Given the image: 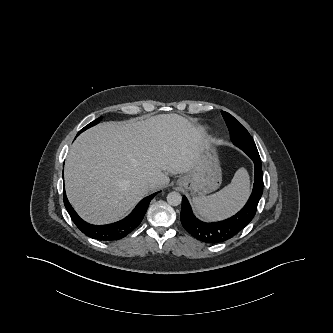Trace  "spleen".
Returning a JSON list of instances; mask_svg holds the SVG:
<instances>
[{"label":"spleen","mask_w":333,"mask_h":333,"mask_svg":"<svg viewBox=\"0 0 333 333\" xmlns=\"http://www.w3.org/2000/svg\"><path fill=\"white\" fill-rule=\"evenodd\" d=\"M249 192L248 172L240 168L229 185L215 194L193 198V204L202 218L221 220L236 213L246 202Z\"/></svg>","instance_id":"obj_1"}]
</instances>
